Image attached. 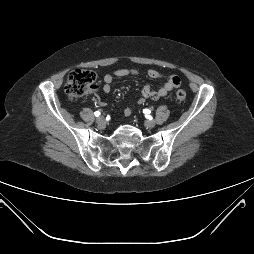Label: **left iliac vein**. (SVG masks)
Returning a JSON list of instances; mask_svg holds the SVG:
<instances>
[{
	"label": "left iliac vein",
	"mask_w": 254,
	"mask_h": 254,
	"mask_svg": "<svg viewBox=\"0 0 254 254\" xmlns=\"http://www.w3.org/2000/svg\"><path fill=\"white\" fill-rule=\"evenodd\" d=\"M156 125V122L154 120H147L145 121V126L147 128H153Z\"/></svg>",
	"instance_id": "4c4485c4"
}]
</instances>
